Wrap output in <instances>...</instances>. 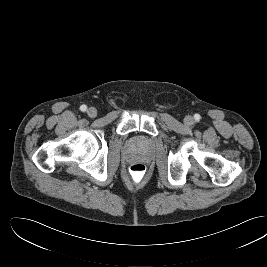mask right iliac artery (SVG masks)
<instances>
[{
    "label": "right iliac artery",
    "instance_id": "right-iliac-artery-1",
    "mask_svg": "<svg viewBox=\"0 0 267 267\" xmlns=\"http://www.w3.org/2000/svg\"><path fill=\"white\" fill-rule=\"evenodd\" d=\"M80 110H81L82 112H85V111L87 110V106H86V105H81V106H80Z\"/></svg>",
    "mask_w": 267,
    "mask_h": 267
}]
</instances>
